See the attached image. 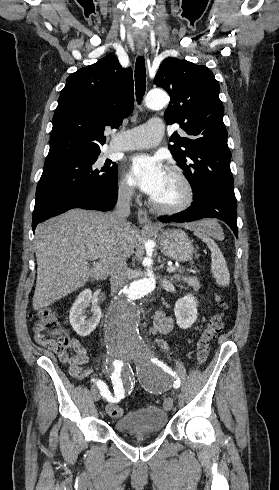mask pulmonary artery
Instances as JSON below:
<instances>
[{"label": "pulmonary artery", "mask_w": 279, "mask_h": 490, "mask_svg": "<svg viewBox=\"0 0 279 490\" xmlns=\"http://www.w3.org/2000/svg\"><path fill=\"white\" fill-rule=\"evenodd\" d=\"M145 124L136 128H115L113 146L118 151H131L156 146L165 131L166 124L159 117H146ZM120 136V137H118Z\"/></svg>", "instance_id": "e3ab8cb5"}]
</instances>
